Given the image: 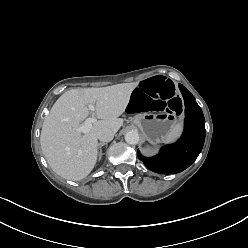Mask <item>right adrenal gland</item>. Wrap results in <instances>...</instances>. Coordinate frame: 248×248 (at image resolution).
<instances>
[{"mask_svg":"<svg viewBox=\"0 0 248 248\" xmlns=\"http://www.w3.org/2000/svg\"><path fill=\"white\" fill-rule=\"evenodd\" d=\"M107 143H105V142H102V143H99L98 144V148H99V160H101V158H102V147L104 146V145H106Z\"/></svg>","mask_w":248,"mask_h":248,"instance_id":"2a0ac1e0","label":"right adrenal gland"}]
</instances>
